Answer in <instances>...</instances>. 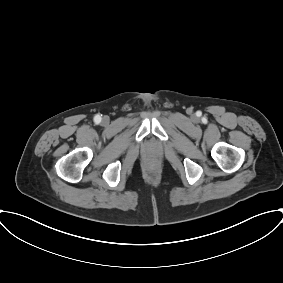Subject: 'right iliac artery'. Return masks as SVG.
<instances>
[{
    "mask_svg": "<svg viewBox=\"0 0 283 283\" xmlns=\"http://www.w3.org/2000/svg\"><path fill=\"white\" fill-rule=\"evenodd\" d=\"M94 121H95L96 123H99V122L101 121V117H100L99 115H96V116L94 117Z\"/></svg>",
    "mask_w": 283,
    "mask_h": 283,
    "instance_id": "82829eb1",
    "label": "right iliac artery"
}]
</instances>
